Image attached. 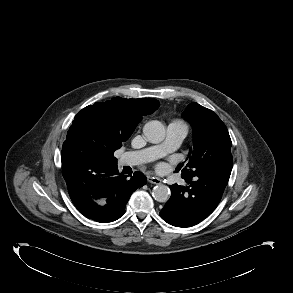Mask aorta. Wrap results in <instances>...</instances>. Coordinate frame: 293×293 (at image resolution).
I'll list each match as a JSON object with an SVG mask.
<instances>
[{
    "label": "aorta",
    "instance_id": "obj_1",
    "mask_svg": "<svg viewBox=\"0 0 293 293\" xmlns=\"http://www.w3.org/2000/svg\"><path fill=\"white\" fill-rule=\"evenodd\" d=\"M143 134L148 141L157 144L164 140L166 130L160 121L152 120L144 125ZM152 196L158 202H166L170 197V189L163 184L156 185L152 190Z\"/></svg>",
    "mask_w": 293,
    "mask_h": 293
}]
</instances>
